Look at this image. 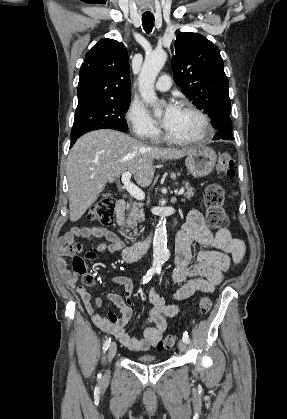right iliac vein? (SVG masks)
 Returning a JSON list of instances; mask_svg holds the SVG:
<instances>
[{"instance_id":"1","label":"right iliac vein","mask_w":287,"mask_h":419,"mask_svg":"<svg viewBox=\"0 0 287 419\" xmlns=\"http://www.w3.org/2000/svg\"><path fill=\"white\" fill-rule=\"evenodd\" d=\"M117 351V346L115 342H112L109 346L108 352H107V360L110 362L113 357L115 356Z\"/></svg>"}]
</instances>
